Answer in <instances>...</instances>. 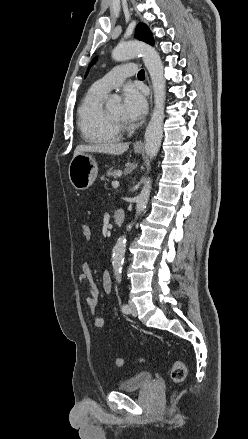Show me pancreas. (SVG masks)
<instances>
[{"label": "pancreas", "mask_w": 248, "mask_h": 439, "mask_svg": "<svg viewBox=\"0 0 248 439\" xmlns=\"http://www.w3.org/2000/svg\"><path fill=\"white\" fill-rule=\"evenodd\" d=\"M121 173L119 170H116L114 168H110L106 171V174L102 177V180H109V177H114L116 178L118 176V174Z\"/></svg>", "instance_id": "cf45deb5"}]
</instances>
